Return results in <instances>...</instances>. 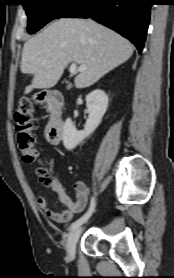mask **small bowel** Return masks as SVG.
Here are the masks:
<instances>
[{
  "instance_id": "obj_1",
  "label": "small bowel",
  "mask_w": 174,
  "mask_h": 278,
  "mask_svg": "<svg viewBox=\"0 0 174 278\" xmlns=\"http://www.w3.org/2000/svg\"><path fill=\"white\" fill-rule=\"evenodd\" d=\"M51 189L57 194L59 201L65 206V210L60 212L52 211L48 208L47 201L43 196H37L36 204L43 210L46 215L55 222L66 223L72 217L84 210L87 200L89 189L85 182L77 181L74 185L75 199H72L66 192L59 179H54L51 184Z\"/></svg>"
}]
</instances>
